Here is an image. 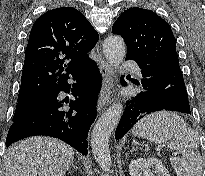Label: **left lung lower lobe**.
I'll use <instances>...</instances> for the list:
<instances>
[{"label": "left lung lower lobe", "mask_w": 205, "mask_h": 176, "mask_svg": "<svg viewBox=\"0 0 205 176\" xmlns=\"http://www.w3.org/2000/svg\"><path fill=\"white\" fill-rule=\"evenodd\" d=\"M129 59L134 60L126 57V60ZM135 61L141 68L143 77L141 83L136 84L141 85L144 90L127 102L126 109L116 128V140L122 138L140 119L152 112L170 110L191 114L188 95L179 66L143 67L139 61Z\"/></svg>", "instance_id": "left-lung-lower-lobe-1"}]
</instances>
